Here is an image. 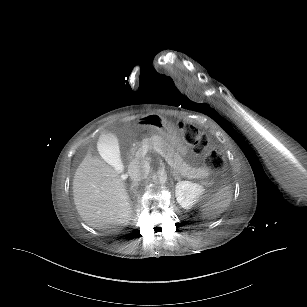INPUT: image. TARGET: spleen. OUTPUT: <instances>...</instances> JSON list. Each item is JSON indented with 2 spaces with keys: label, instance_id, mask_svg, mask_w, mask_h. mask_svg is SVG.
<instances>
[{
  "label": "spleen",
  "instance_id": "1",
  "mask_svg": "<svg viewBox=\"0 0 307 307\" xmlns=\"http://www.w3.org/2000/svg\"><path fill=\"white\" fill-rule=\"evenodd\" d=\"M232 198L233 192L231 186L223 184L219 188L218 195H216L210 202L203 204L202 211L207 216L215 217L229 208V202Z\"/></svg>",
  "mask_w": 307,
  "mask_h": 307
}]
</instances>
